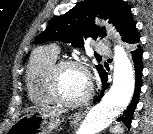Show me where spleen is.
I'll use <instances>...</instances> for the list:
<instances>
[{
  "instance_id": "spleen-1",
  "label": "spleen",
  "mask_w": 153,
  "mask_h": 134,
  "mask_svg": "<svg viewBox=\"0 0 153 134\" xmlns=\"http://www.w3.org/2000/svg\"><path fill=\"white\" fill-rule=\"evenodd\" d=\"M124 131V129L122 128L121 124H117L116 126H114L112 129H111V132L113 134H122Z\"/></svg>"
}]
</instances>
